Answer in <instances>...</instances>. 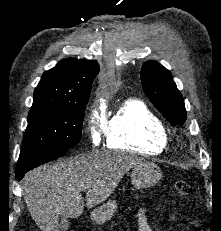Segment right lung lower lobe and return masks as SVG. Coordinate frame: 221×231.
<instances>
[{
  "label": "right lung lower lobe",
  "mask_w": 221,
  "mask_h": 231,
  "mask_svg": "<svg viewBox=\"0 0 221 231\" xmlns=\"http://www.w3.org/2000/svg\"><path fill=\"white\" fill-rule=\"evenodd\" d=\"M66 152L67 151L43 155V156H40V157H37V158L31 160L30 162H28L24 165H17L16 171H15V175H16L17 180L20 181L23 178L24 174L26 172H28L29 170L36 168V167H38L44 163L55 160V159L59 158L60 156L64 155Z\"/></svg>",
  "instance_id": "right-lung-lower-lobe-1"
}]
</instances>
